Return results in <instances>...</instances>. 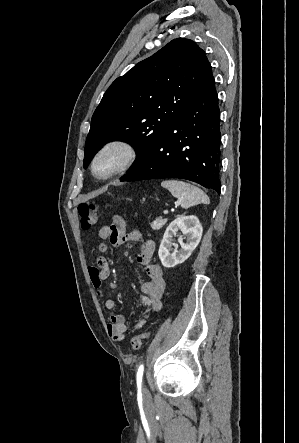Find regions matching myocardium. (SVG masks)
Instances as JSON below:
<instances>
[{
    "label": "myocardium",
    "mask_w": 299,
    "mask_h": 443,
    "mask_svg": "<svg viewBox=\"0 0 299 443\" xmlns=\"http://www.w3.org/2000/svg\"><path fill=\"white\" fill-rule=\"evenodd\" d=\"M137 156L135 146L129 141L120 138L108 140L95 152L90 162V172L97 180H109L128 170ZM108 158H111L110 164L104 168V162Z\"/></svg>",
    "instance_id": "myocardium-1"
}]
</instances>
